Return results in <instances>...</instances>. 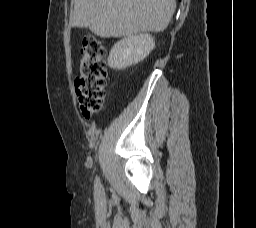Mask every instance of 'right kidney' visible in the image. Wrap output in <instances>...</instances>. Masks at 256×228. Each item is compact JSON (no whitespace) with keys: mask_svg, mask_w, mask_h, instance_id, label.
Here are the masks:
<instances>
[{"mask_svg":"<svg viewBox=\"0 0 256 228\" xmlns=\"http://www.w3.org/2000/svg\"><path fill=\"white\" fill-rule=\"evenodd\" d=\"M154 47L155 41L148 33L128 36L113 46L108 65L113 69H125L146 58Z\"/></svg>","mask_w":256,"mask_h":228,"instance_id":"1","label":"right kidney"}]
</instances>
